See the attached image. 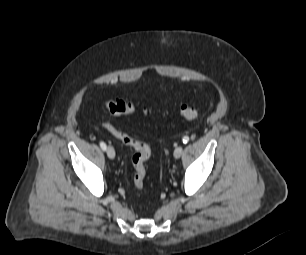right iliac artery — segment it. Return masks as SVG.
<instances>
[{
  "instance_id": "1",
  "label": "right iliac artery",
  "mask_w": 306,
  "mask_h": 255,
  "mask_svg": "<svg viewBox=\"0 0 306 255\" xmlns=\"http://www.w3.org/2000/svg\"><path fill=\"white\" fill-rule=\"evenodd\" d=\"M100 147H101V149L104 150V151H105L106 148H107L106 144H105L104 142H102V141L100 142Z\"/></svg>"
}]
</instances>
